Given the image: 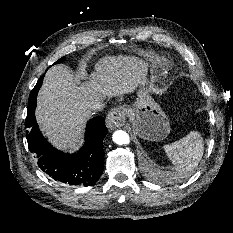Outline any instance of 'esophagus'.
Here are the masks:
<instances>
[{"label":"esophagus","mask_w":233,"mask_h":233,"mask_svg":"<svg viewBox=\"0 0 233 233\" xmlns=\"http://www.w3.org/2000/svg\"><path fill=\"white\" fill-rule=\"evenodd\" d=\"M126 122V112L123 107L112 109L106 117V126L110 129L122 127Z\"/></svg>","instance_id":"esophagus-1"}]
</instances>
